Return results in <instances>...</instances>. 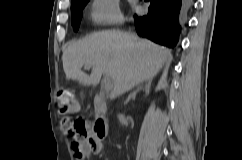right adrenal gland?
I'll use <instances>...</instances> for the list:
<instances>
[{"instance_id":"2a0ac1e0","label":"right adrenal gland","mask_w":242,"mask_h":160,"mask_svg":"<svg viewBox=\"0 0 242 160\" xmlns=\"http://www.w3.org/2000/svg\"><path fill=\"white\" fill-rule=\"evenodd\" d=\"M149 86H150V81H147L144 86H140L137 89H135L134 91H132V93H130L129 96L127 97L124 104L126 105L131 99L134 100L139 91H144L147 93L149 91Z\"/></svg>"}]
</instances>
